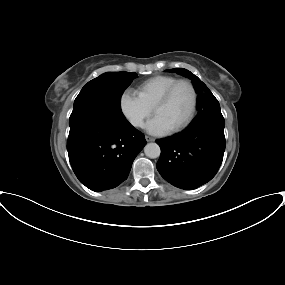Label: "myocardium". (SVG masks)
I'll return each instance as SVG.
<instances>
[{
	"label": "myocardium",
	"mask_w": 285,
	"mask_h": 285,
	"mask_svg": "<svg viewBox=\"0 0 285 285\" xmlns=\"http://www.w3.org/2000/svg\"><path fill=\"white\" fill-rule=\"evenodd\" d=\"M180 85H187L191 92H192V96H193V102H192V107L190 110L189 115L187 116V118L180 123L178 126L174 127L173 129H171L172 133H178L180 131H182L183 129H185L195 118V115L197 113V109H198V104H199V94L198 91L195 87V85L188 79H179L177 80L175 83H173L165 92L164 94L158 99V101L155 103L154 107H153V113L155 114V111L159 108L164 106L165 104H167L169 102V100L171 99L172 95L174 94L175 90L180 86Z\"/></svg>",
	"instance_id": "obj_1"
}]
</instances>
